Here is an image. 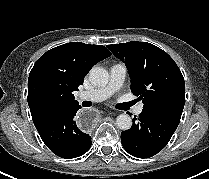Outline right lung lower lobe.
Returning a JSON list of instances; mask_svg holds the SVG:
<instances>
[{"label":"right lung lower lobe","mask_w":209,"mask_h":179,"mask_svg":"<svg viewBox=\"0 0 209 179\" xmlns=\"http://www.w3.org/2000/svg\"><path fill=\"white\" fill-rule=\"evenodd\" d=\"M81 106L68 108L38 130L45 145L57 156L76 158L91 147V137L77 126L74 116Z\"/></svg>","instance_id":"1"}]
</instances>
